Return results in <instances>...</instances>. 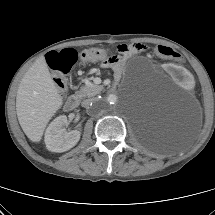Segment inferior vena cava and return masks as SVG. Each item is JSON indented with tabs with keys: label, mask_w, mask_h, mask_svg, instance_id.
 Instances as JSON below:
<instances>
[{
	"label": "inferior vena cava",
	"mask_w": 215,
	"mask_h": 215,
	"mask_svg": "<svg viewBox=\"0 0 215 215\" xmlns=\"http://www.w3.org/2000/svg\"><path fill=\"white\" fill-rule=\"evenodd\" d=\"M92 103L93 104H98L99 103V99H97V98L85 99L82 102V106L83 107H87V106H89Z\"/></svg>",
	"instance_id": "602c4592"
}]
</instances>
